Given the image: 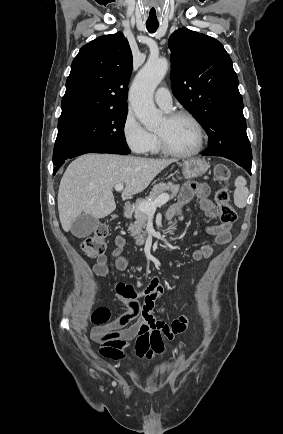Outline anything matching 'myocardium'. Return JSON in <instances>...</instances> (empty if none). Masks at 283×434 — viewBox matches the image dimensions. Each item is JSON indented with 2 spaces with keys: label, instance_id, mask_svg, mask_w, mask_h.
Wrapping results in <instances>:
<instances>
[{
  "label": "myocardium",
  "instance_id": "myocardium-1",
  "mask_svg": "<svg viewBox=\"0 0 283 434\" xmlns=\"http://www.w3.org/2000/svg\"><path fill=\"white\" fill-rule=\"evenodd\" d=\"M166 118L170 121L176 120L179 118H185V119L189 120L193 124V126L196 130L197 142H196V146L191 151L179 152V151L173 150L168 145L165 138L160 133H156L161 150L165 154L176 157V158H190V157H193V156L197 155L198 153H200L201 150L203 149V146H204V130H203V127H202L201 123L199 122V120L192 113L185 111V110H179V111L171 112L166 116Z\"/></svg>",
  "mask_w": 283,
  "mask_h": 434
}]
</instances>
